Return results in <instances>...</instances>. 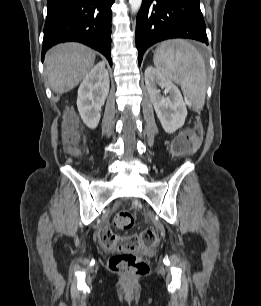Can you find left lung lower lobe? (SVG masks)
I'll return each mask as SVG.
<instances>
[{
  "mask_svg": "<svg viewBox=\"0 0 261 306\" xmlns=\"http://www.w3.org/2000/svg\"><path fill=\"white\" fill-rule=\"evenodd\" d=\"M170 38H190L208 45L199 0H143L136 23L139 65L147 48Z\"/></svg>",
  "mask_w": 261,
  "mask_h": 306,
  "instance_id": "obj_1",
  "label": "left lung lower lobe"
}]
</instances>
